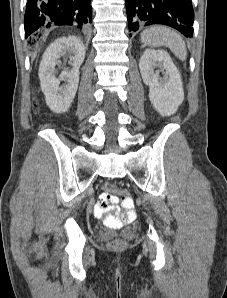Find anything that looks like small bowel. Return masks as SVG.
<instances>
[{
	"mask_svg": "<svg viewBox=\"0 0 227 298\" xmlns=\"http://www.w3.org/2000/svg\"><path fill=\"white\" fill-rule=\"evenodd\" d=\"M116 199H114V201H115ZM128 209V211H127V215H126V217H125V219H124V222H129V221H131L133 218H134V215H135V213H134V211H133V209L132 208H127ZM116 211H118V208L116 207ZM94 213H95V215H96V217H103L104 215H105V211L100 207V205L97 203L96 205H95V207H94Z\"/></svg>",
	"mask_w": 227,
	"mask_h": 298,
	"instance_id": "obj_1",
	"label": "small bowel"
}]
</instances>
